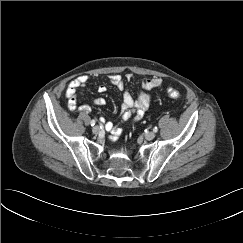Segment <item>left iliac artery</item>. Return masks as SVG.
Segmentation results:
<instances>
[{
    "label": "left iliac artery",
    "mask_w": 243,
    "mask_h": 243,
    "mask_svg": "<svg viewBox=\"0 0 243 243\" xmlns=\"http://www.w3.org/2000/svg\"><path fill=\"white\" fill-rule=\"evenodd\" d=\"M153 131H154V132H157V131H158V128H157V127H154V128H153Z\"/></svg>",
    "instance_id": "44dca946"
}]
</instances>
